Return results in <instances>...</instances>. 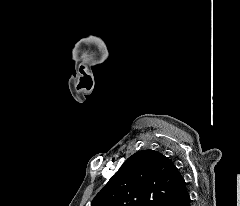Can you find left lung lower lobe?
I'll return each mask as SVG.
<instances>
[{"instance_id":"1","label":"left lung lower lobe","mask_w":240,"mask_h":206,"mask_svg":"<svg viewBox=\"0 0 240 206\" xmlns=\"http://www.w3.org/2000/svg\"><path fill=\"white\" fill-rule=\"evenodd\" d=\"M166 206H191L188 184L182 175H180L178 186Z\"/></svg>"}]
</instances>
